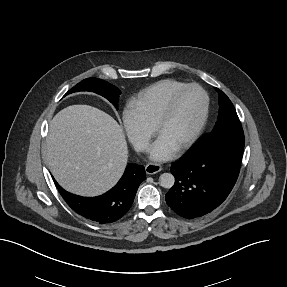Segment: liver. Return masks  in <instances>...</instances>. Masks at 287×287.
<instances>
[{
	"instance_id": "6515ba94",
	"label": "liver",
	"mask_w": 287,
	"mask_h": 287,
	"mask_svg": "<svg viewBox=\"0 0 287 287\" xmlns=\"http://www.w3.org/2000/svg\"><path fill=\"white\" fill-rule=\"evenodd\" d=\"M44 153L57 182L82 196H97L112 188L128 160L121 126L89 105L68 106L54 116Z\"/></svg>"
}]
</instances>
